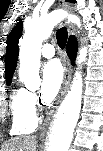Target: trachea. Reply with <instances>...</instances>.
<instances>
[{
    "label": "trachea",
    "instance_id": "1",
    "mask_svg": "<svg viewBox=\"0 0 103 151\" xmlns=\"http://www.w3.org/2000/svg\"><path fill=\"white\" fill-rule=\"evenodd\" d=\"M56 38H57V43H58L59 47L61 49H64L66 41H67V38H68L67 29L65 27L59 29L56 32Z\"/></svg>",
    "mask_w": 103,
    "mask_h": 151
}]
</instances>
